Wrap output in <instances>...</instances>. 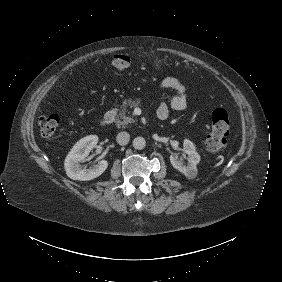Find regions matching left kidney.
<instances>
[{
	"label": "left kidney",
	"mask_w": 282,
	"mask_h": 282,
	"mask_svg": "<svg viewBox=\"0 0 282 282\" xmlns=\"http://www.w3.org/2000/svg\"><path fill=\"white\" fill-rule=\"evenodd\" d=\"M184 158L179 157V153L175 152L170 155V161L174 168L183 173L188 178H194L197 175V164L200 161V156L195 152L194 145L189 140H184L183 143ZM188 161V164L184 162Z\"/></svg>",
	"instance_id": "5707ae66"
}]
</instances>
